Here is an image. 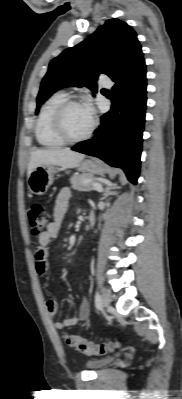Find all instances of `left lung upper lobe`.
Listing matches in <instances>:
<instances>
[{
	"instance_id": "5c2ea615",
	"label": "left lung upper lobe",
	"mask_w": 182,
	"mask_h": 399,
	"mask_svg": "<svg viewBox=\"0 0 182 399\" xmlns=\"http://www.w3.org/2000/svg\"><path fill=\"white\" fill-rule=\"evenodd\" d=\"M144 62L136 32L118 19L107 20L80 44L64 50L50 64L40 86L36 114L57 90L74 86L97 92V78L108 75L115 83Z\"/></svg>"
}]
</instances>
